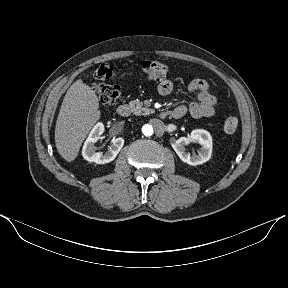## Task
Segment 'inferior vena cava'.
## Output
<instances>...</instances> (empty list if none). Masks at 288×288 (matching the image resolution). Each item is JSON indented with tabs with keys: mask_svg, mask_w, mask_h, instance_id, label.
<instances>
[{
	"mask_svg": "<svg viewBox=\"0 0 288 288\" xmlns=\"http://www.w3.org/2000/svg\"><path fill=\"white\" fill-rule=\"evenodd\" d=\"M152 125L155 128L154 135L156 137H161L165 133L166 125L159 118H154Z\"/></svg>",
	"mask_w": 288,
	"mask_h": 288,
	"instance_id": "1",
	"label": "inferior vena cava"
}]
</instances>
